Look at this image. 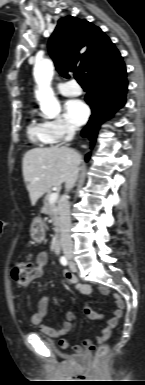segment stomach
<instances>
[{
    "instance_id": "obj_1",
    "label": "stomach",
    "mask_w": 145,
    "mask_h": 385,
    "mask_svg": "<svg viewBox=\"0 0 145 385\" xmlns=\"http://www.w3.org/2000/svg\"><path fill=\"white\" fill-rule=\"evenodd\" d=\"M30 236L37 243H41L44 240L45 230L41 219L37 218L33 221L30 228Z\"/></svg>"
}]
</instances>
